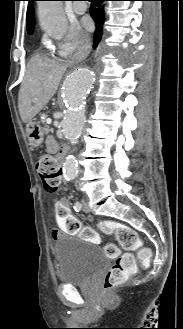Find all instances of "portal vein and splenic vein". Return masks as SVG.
<instances>
[{"instance_id": "1", "label": "portal vein and splenic vein", "mask_w": 183, "mask_h": 329, "mask_svg": "<svg viewBox=\"0 0 183 329\" xmlns=\"http://www.w3.org/2000/svg\"><path fill=\"white\" fill-rule=\"evenodd\" d=\"M46 122H47V124H51V123H52V120H51L50 118H48V119L46 120Z\"/></svg>"}]
</instances>
